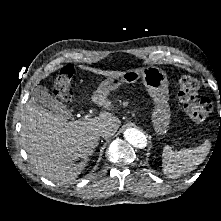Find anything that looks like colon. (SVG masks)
<instances>
[{
	"mask_svg": "<svg viewBox=\"0 0 221 221\" xmlns=\"http://www.w3.org/2000/svg\"><path fill=\"white\" fill-rule=\"evenodd\" d=\"M73 75L74 66L67 64L56 77L53 93L61 101L68 102L71 99L70 87ZM177 87L178 99L186 115L194 122H204L212 111V102L207 97H197L198 81L191 76L183 75L179 78Z\"/></svg>",
	"mask_w": 221,
	"mask_h": 221,
	"instance_id": "5ec220e1",
	"label": "colon"
}]
</instances>
